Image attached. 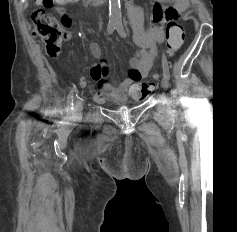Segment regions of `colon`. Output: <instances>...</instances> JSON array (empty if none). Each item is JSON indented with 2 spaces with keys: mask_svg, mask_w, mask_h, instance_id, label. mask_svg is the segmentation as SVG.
Wrapping results in <instances>:
<instances>
[{
  "mask_svg": "<svg viewBox=\"0 0 237 232\" xmlns=\"http://www.w3.org/2000/svg\"><path fill=\"white\" fill-rule=\"evenodd\" d=\"M66 0H40L42 7L36 8L31 15L34 24L33 33L40 37L49 56H57L64 39L68 37L67 29L71 26L70 17L64 13L61 21L49 14L45 8L64 4ZM184 40L183 27L176 21L167 25L166 47L170 56L182 46ZM149 87V85H147Z\"/></svg>",
  "mask_w": 237,
  "mask_h": 232,
  "instance_id": "obj_1",
  "label": "colon"
}]
</instances>
